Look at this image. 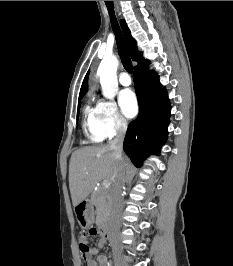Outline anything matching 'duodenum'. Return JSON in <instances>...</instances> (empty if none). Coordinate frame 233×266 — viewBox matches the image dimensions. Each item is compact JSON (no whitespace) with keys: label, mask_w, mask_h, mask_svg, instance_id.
<instances>
[{"label":"duodenum","mask_w":233,"mask_h":266,"mask_svg":"<svg viewBox=\"0 0 233 266\" xmlns=\"http://www.w3.org/2000/svg\"><path fill=\"white\" fill-rule=\"evenodd\" d=\"M99 232L102 235V238L105 242H107L110 239V236H111L110 230L105 223H101L99 225Z\"/></svg>","instance_id":"1"}]
</instances>
